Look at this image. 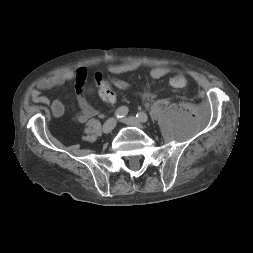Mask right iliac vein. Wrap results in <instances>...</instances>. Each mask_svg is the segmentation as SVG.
<instances>
[{"mask_svg":"<svg viewBox=\"0 0 253 253\" xmlns=\"http://www.w3.org/2000/svg\"><path fill=\"white\" fill-rule=\"evenodd\" d=\"M116 125V120L114 118H109L106 120V122L104 123L102 130L104 133H110L112 132L113 128Z\"/></svg>","mask_w":253,"mask_h":253,"instance_id":"obj_1","label":"right iliac vein"}]
</instances>
